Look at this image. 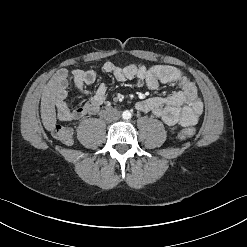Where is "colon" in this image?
Returning a JSON list of instances; mask_svg holds the SVG:
<instances>
[{
  "label": "colon",
  "instance_id": "5ec220e1",
  "mask_svg": "<svg viewBox=\"0 0 247 247\" xmlns=\"http://www.w3.org/2000/svg\"><path fill=\"white\" fill-rule=\"evenodd\" d=\"M195 129L193 127H188L182 129L178 136L180 139H188L195 135ZM53 135L56 139L60 140L65 144L72 142V130L69 127L57 125L53 130Z\"/></svg>",
  "mask_w": 247,
  "mask_h": 247
}]
</instances>
